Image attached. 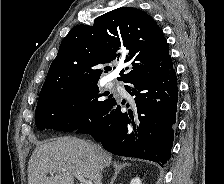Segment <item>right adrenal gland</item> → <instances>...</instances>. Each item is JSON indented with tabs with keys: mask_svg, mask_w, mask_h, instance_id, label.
Here are the masks:
<instances>
[{
	"mask_svg": "<svg viewBox=\"0 0 224 184\" xmlns=\"http://www.w3.org/2000/svg\"><path fill=\"white\" fill-rule=\"evenodd\" d=\"M127 166H130V163H124V164H119L118 162L113 163V167L115 168V173H114V176H113L110 184L114 183V181L116 180L117 175L119 174L121 169L124 168V167H127Z\"/></svg>",
	"mask_w": 224,
	"mask_h": 184,
	"instance_id": "right-adrenal-gland-1",
	"label": "right adrenal gland"
}]
</instances>
